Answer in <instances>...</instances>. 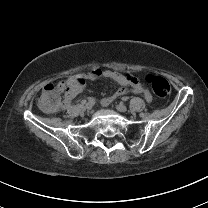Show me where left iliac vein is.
<instances>
[{
  "label": "left iliac vein",
  "instance_id": "left-iliac-vein-1",
  "mask_svg": "<svg viewBox=\"0 0 208 208\" xmlns=\"http://www.w3.org/2000/svg\"><path fill=\"white\" fill-rule=\"evenodd\" d=\"M116 109L120 112H126L127 111V107L122 103L117 104Z\"/></svg>",
  "mask_w": 208,
  "mask_h": 208
}]
</instances>
